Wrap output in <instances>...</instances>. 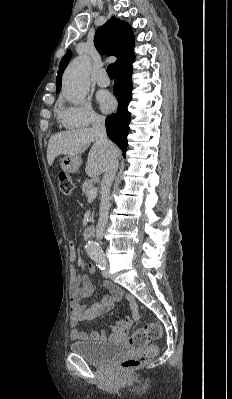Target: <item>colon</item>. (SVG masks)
<instances>
[{"label":"colon","mask_w":232,"mask_h":399,"mask_svg":"<svg viewBox=\"0 0 232 399\" xmlns=\"http://www.w3.org/2000/svg\"><path fill=\"white\" fill-rule=\"evenodd\" d=\"M56 185L61 194L73 196V179L68 174H56ZM162 327L158 321H149L148 326H134V334H129V346L127 353L137 355H122V368L124 374L130 373V368H141V365H149V358H153V351H146V347H152V341H159Z\"/></svg>","instance_id":"5ec220e1"}]
</instances>
